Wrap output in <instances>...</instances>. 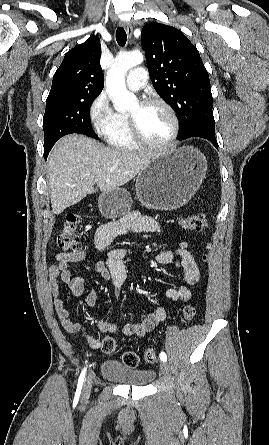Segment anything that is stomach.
Instances as JSON below:
<instances>
[{"mask_svg": "<svg viewBox=\"0 0 269 445\" xmlns=\"http://www.w3.org/2000/svg\"><path fill=\"white\" fill-rule=\"evenodd\" d=\"M207 172V160L193 147L171 148L159 153L142 169L135 181L139 202L154 210H175L194 196ZM132 198L123 188L102 192L98 207L107 219L125 216Z\"/></svg>", "mask_w": 269, "mask_h": 445, "instance_id": "obj_1", "label": "stomach"}]
</instances>
